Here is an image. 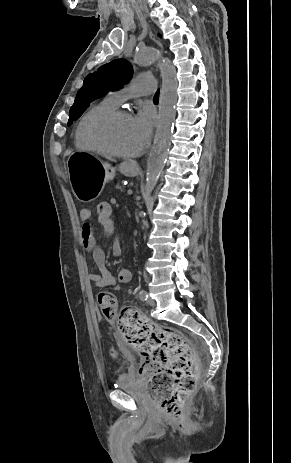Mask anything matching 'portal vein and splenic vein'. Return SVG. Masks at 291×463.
<instances>
[{
	"label": "portal vein and splenic vein",
	"mask_w": 291,
	"mask_h": 463,
	"mask_svg": "<svg viewBox=\"0 0 291 463\" xmlns=\"http://www.w3.org/2000/svg\"><path fill=\"white\" fill-rule=\"evenodd\" d=\"M127 193H128L129 195H131V194L133 193V191H132L131 189H128V190H127Z\"/></svg>",
	"instance_id": "obj_1"
}]
</instances>
